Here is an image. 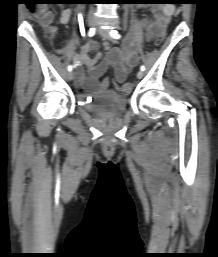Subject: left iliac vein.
Segmentation results:
<instances>
[{
    "label": "left iliac vein",
    "instance_id": "obj_1",
    "mask_svg": "<svg viewBox=\"0 0 218 257\" xmlns=\"http://www.w3.org/2000/svg\"><path fill=\"white\" fill-rule=\"evenodd\" d=\"M98 34L104 39V40H110L111 39V36H110V33L107 29L103 28V27H100L98 29ZM143 77V72L140 70L138 71L137 73V78L138 79H141Z\"/></svg>",
    "mask_w": 218,
    "mask_h": 257
}]
</instances>
